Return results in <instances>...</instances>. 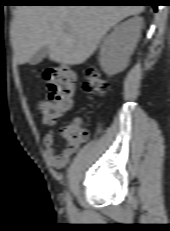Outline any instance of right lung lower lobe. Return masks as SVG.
<instances>
[{"mask_svg": "<svg viewBox=\"0 0 170 231\" xmlns=\"http://www.w3.org/2000/svg\"><path fill=\"white\" fill-rule=\"evenodd\" d=\"M29 5H150L157 11L159 0H27Z\"/></svg>", "mask_w": 170, "mask_h": 231, "instance_id": "obj_1", "label": "right lung lower lobe"}]
</instances>
